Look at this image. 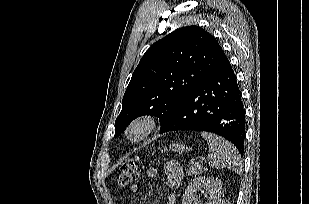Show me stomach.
I'll return each instance as SVG.
<instances>
[{
  "instance_id": "obj_1",
  "label": "stomach",
  "mask_w": 309,
  "mask_h": 204,
  "mask_svg": "<svg viewBox=\"0 0 309 204\" xmlns=\"http://www.w3.org/2000/svg\"><path fill=\"white\" fill-rule=\"evenodd\" d=\"M187 147H185L184 144H180V143H174V144H171L169 146V150H172V151H177V152H182L186 149ZM168 149L166 147H164V149L162 151H167Z\"/></svg>"
}]
</instances>
